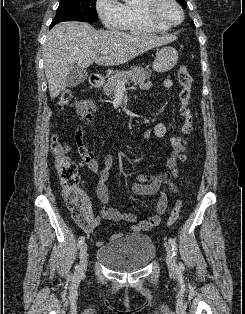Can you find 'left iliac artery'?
<instances>
[{"mask_svg": "<svg viewBox=\"0 0 245 314\" xmlns=\"http://www.w3.org/2000/svg\"><path fill=\"white\" fill-rule=\"evenodd\" d=\"M169 243L172 247L173 255L176 256L177 255V243H176L175 239L170 238ZM179 266H180V268H183V264L181 262L179 263Z\"/></svg>", "mask_w": 245, "mask_h": 314, "instance_id": "obj_1", "label": "left iliac artery"}]
</instances>
